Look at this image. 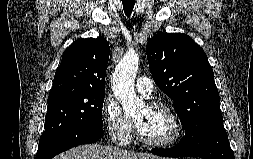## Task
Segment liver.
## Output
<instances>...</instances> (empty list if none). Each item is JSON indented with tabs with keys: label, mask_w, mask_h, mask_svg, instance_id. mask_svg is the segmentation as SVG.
<instances>
[{
	"label": "liver",
	"mask_w": 253,
	"mask_h": 159,
	"mask_svg": "<svg viewBox=\"0 0 253 159\" xmlns=\"http://www.w3.org/2000/svg\"><path fill=\"white\" fill-rule=\"evenodd\" d=\"M151 157L157 156L144 153H135L100 144H87L74 147L65 153L54 157L53 159H148Z\"/></svg>",
	"instance_id": "1"
}]
</instances>
